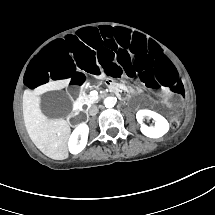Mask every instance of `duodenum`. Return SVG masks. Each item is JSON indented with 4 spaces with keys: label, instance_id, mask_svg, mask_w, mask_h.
<instances>
[{
    "label": "duodenum",
    "instance_id": "410a0bca",
    "mask_svg": "<svg viewBox=\"0 0 215 215\" xmlns=\"http://www.w3.org/2000/svg\"><path fill=\"white\" fill-rule=\"evenodd\" d=\"M110 89L112 90V93L122 101L128 100L131 96L128 90L120 88L118 86H112Z\"/></svg>",
    "mask_w": 215,
    "mask_h": 215
}]
</instances>
